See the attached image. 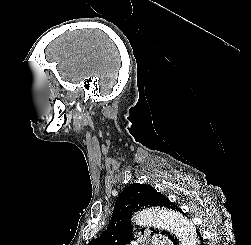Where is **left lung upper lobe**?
Returning <instances> with one entry per match:
<instances>
[{"label": "left lung upper lobe", "instance_id": "1", "mask_svg": "<svg viewBox=\"0 0 251 245\" xmlns=\"http://www.w3.org/2000/svg\"><path fill=\"white\" fill-rule=\"evenodd\" d=\"M152 206L166 207L175 211L180 209L150 185L135 183L128 186L116 200L107 229L88 245H126L133 239L130 221L132 212ZM151 230L153 233H158L153 228ZM167 233V231L161 232L163 235Z\"/></svg>", "mask_w": 251, "mask_h": 245}]
</instances>
